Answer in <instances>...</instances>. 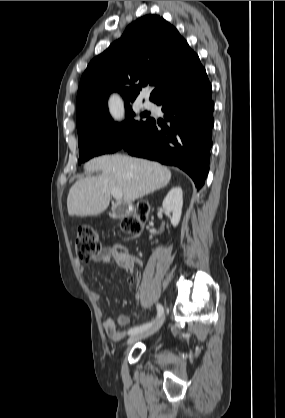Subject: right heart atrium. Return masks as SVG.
I'll return each instance as SVG.
<instances>
[{"label": "right heart atrium", "instance_id": "right-heart-atrium-1", "mask_svg": "<svg viewBox=\"0 0 285 418\" xmlns=\"http://www.w3.org/2000/svg\"><path fill=\"white\" fill-rule=\"evenodd\" d=\"M123 140L124 134L121 131L115 129L110 132V141L113 144H120L123 142Z\"/></svg>", "mask_w": 285, "mask_h": 418}]
</instances>
